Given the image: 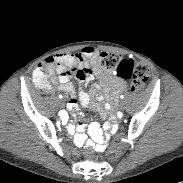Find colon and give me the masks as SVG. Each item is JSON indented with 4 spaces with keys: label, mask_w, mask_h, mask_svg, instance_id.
I'll list each match as a JSON object with an SVG mask.
<instances>
[{
    "label": "colon",
    "mask_w": 183,
    "mask_h": 183,
    "mask_svg": "<svg viewBox=\"0 0 183 183\" xmlns=\"http://www.w3.org/2000/svg\"><path fill=\"white\" fill-rule=\"evenodd\" d=\"M99 64L103 69L112 70L118 77L129 80L130 88L134 92L141 91L149 79L150 71L146 64L135 62L129 58H122L115 53L102 52L99 56ZM84 72L82 69L78 70L77 76H82ZM51 75V67L43 62L34 71L33 80L41 89L48 90L50 88ZM84 150L86 152L85 159L88 162H93L96 159V154L91 148V143L86 144Z\"/></svg>",
    "instance_id": "5ec220e1"
}]
</instances>
